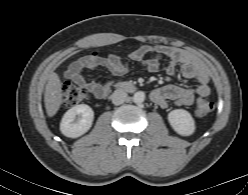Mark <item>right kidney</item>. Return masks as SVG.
Wrapping results in <instances>:
<instances>
[{
    "instance_id": "obj_1",
    "label": "right kidney",
    "mask_w": 248,
    "mask_h": 195,
    "mask_svg": "<svg viewBox=\"0 0 248 195\" xmlns=\"http://www.w3.org/2000/svg\"><path fill=\"white\" fill-rule=\"evenodd\" d=\"M94 112L86 104L75 105L62 117L60 131L70 138H77L85 134L92 126Z\"/></svg>"
}]
</instances>
